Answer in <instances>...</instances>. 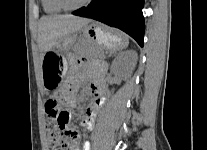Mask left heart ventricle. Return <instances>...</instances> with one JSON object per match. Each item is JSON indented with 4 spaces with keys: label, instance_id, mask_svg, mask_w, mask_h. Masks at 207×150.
<instances>
[{
    "label": "left heart ventricle",
    "instance_id": "left-heart-ventricle-1",
    "mask_svg": "<svg viewBox=\"0 0 207 150\" xmlns=\"http://www.w3.org/2000/svg\"><path fill=\"white\" fill-rule=\"evenodd\" d=\"M83 0H65L68 5H77L81 3Z\"/></svg>",
    "mask_w": 207,
    "mask_h": 150
}]
</instances>
